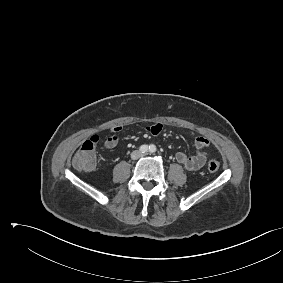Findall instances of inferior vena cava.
<instances>
[{"instance_id": "inferior-vena-cava-1", "label": "inferior vena cava", "mask_w": 283, "mask_h": 283, "mask_svg": "<svg viewBox=\"0 0 283 283\" xmlns=\"http://www.w3.org/2000/svg\"><path fill=\"white\" fill-rule=\"evenodd\" d=\"M141 155H142V153L136 150V151H133V152H132L131 158H132V159H137V158H139Z\"/></svg>"}]
</instances>
